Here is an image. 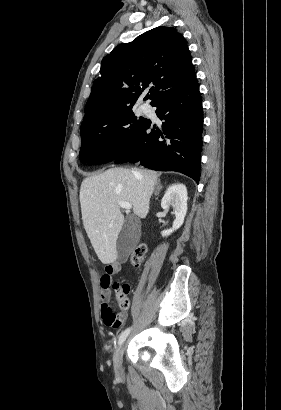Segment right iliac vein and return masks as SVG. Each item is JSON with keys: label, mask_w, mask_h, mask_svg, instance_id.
Returning a JSON list of instances; mask_svg holds the SVG:
<instances>
[{"label": "right iliac vein", "mask_w": 281, "mask_h": 410, "mask_svg": "<svg viewBox=\"0 0 281 410\" xmlns=\"http://www.w3.org/2000/svg\"><path fill=\"white\" fill-rule=\"evenodd\" d=\"M124 348H125V343L123 342L118 347L113 357L114 370L117 375H122L123 373L122 360H123Z\"/></svg>", "instance_id": "1"}]
</instances>
